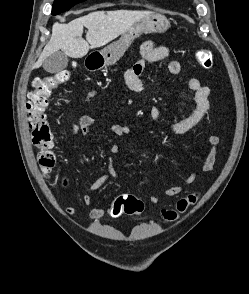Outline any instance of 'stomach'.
<instances>
[{
	"label": "stomach",
	"instance_id": "obj_1",
	"mask_svg": "<svg viewBox=\"0 0 249 294\" xmlns=\"http://www.w3.org/2000/svg\"><path fill=\"white\" fill-rule=\"evenodd\" d=\"M169 28V21L164 15L151 12L137 21L122 34L119 41L105 47L93 57H98L100 68L114 65L127 51L133 41L143 33H161Z\"/></svg>",
	"mask_w": 249,
	"mask_h": 294
}]
</instances>
